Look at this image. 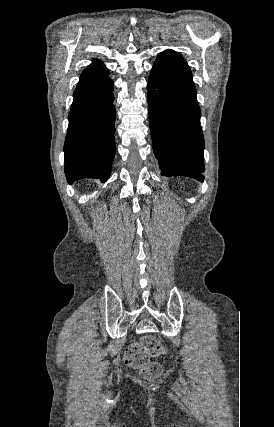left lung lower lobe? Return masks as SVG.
Masks as SVG:
<instances>
[{
  "instance_id": "1",
  "label": "left lung lower lobe",
  "mask_w": 274,
  "mask_h": 427,
  "mask_svg": "<svg viewBox=\"0 0 274 427\" xmlns=\"http://www.w3.org/2000/svg\"><path fill=\"white\" fill-rule=\"evenodd\" d=\"M149 123L162 176L203 181L204 138L189 66L172 50L157 57L148 81Z\"/></svg>"
}]
</instances>
